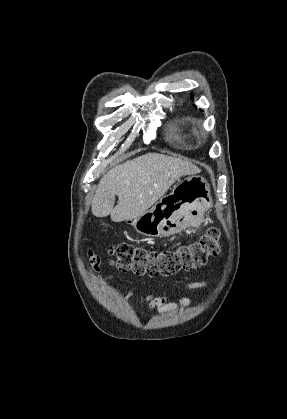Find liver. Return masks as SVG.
<instances>
[{
	"mask_svg": "<svg viewBox=\"0 0 287 419\" xmlns=\"http://www.w3.org/2000/svg\"><path fill=\"white\" fill-rule=\"evenodd\" d=\"M200 169L182 157L147 153L115 166L105 174L91 202L96 217L122 222L145 213L182 176ZM115 196L118 204L115 205Z\"/></svg>",
	"mask_w": 287,
	"mask_h": 419,
	"instance_id": "6515ba94",
	"label": "liver"
}]
</instances>
